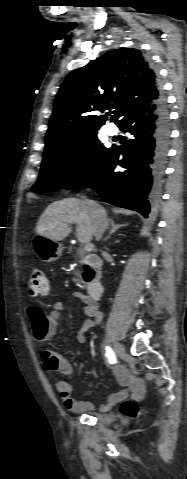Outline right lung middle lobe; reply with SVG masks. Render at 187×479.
I'll return each mask as SVG.
<instances>
[{
	"mask_svg": "<svg viewBox=\"0 0 187 479\" xmlns=\"http://www.w3.org/2000/svg\"><path fill=\"white\" fill-rule=\"evenodd\" d=\"M110 148L97 139V132L44 151L34 191L73 189L80 185L107 158Z\"/></svg>",
	"mask_w": 187,
	"mask_h": 479,
	"instance_id": "1",
	"label": "right lung middle lobe"
}]
</instances>
